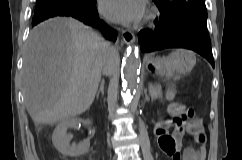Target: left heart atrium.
I'll use <instances>...</instances> for the list:
<instances>
[{
  "label": "left heart atrium",
  "instance_id": "left-heart-atrium-1",
  "mask_svg": "<svg viewBox=\"0 0 242 160\" xmlns=\"http://www.w3.org/2000/svg\"><path fill=\"white\" fill-rule=\"evenodd\" d=\"M145 0H101L102 14L109 20L128 24L139 21L145 14Z\"/></svg>",
  "mask_w": 242,
  "mask_h": 160
}]
</instances>
